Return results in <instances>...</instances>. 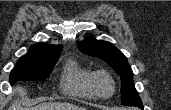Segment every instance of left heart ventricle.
I'll return each mask as SVG.
<instances>
[{"mask_svg": "<svg viewBox=\"0 0 171 110\" xmlns=\"http://www.w3.org/2000/svg\"><path fill=\"white\" fill-rule=\"evenodd\" d=\"M98 90L103 95H108L112 91V85L111 82L104 77L99 78L97 83Z\"/></svg>", "mask_w": 171, "mask_h": 110, "instance_id": "obj_1", "label": "left heart ventricle"}]
</instances>
